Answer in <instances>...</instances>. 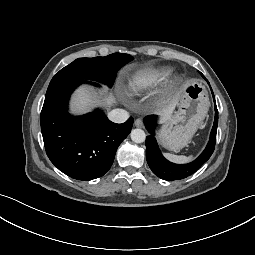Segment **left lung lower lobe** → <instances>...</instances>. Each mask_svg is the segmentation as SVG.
Segmentation results:
<instances>
[{"instance_id": "1", "label": "left lung lower lobe", "mask_w": 255, "mask_h": 255, "mask_svg": "<svg viewBox=\"0 0 255 255\" xmlns=\"http://www.w3.org/2000/svg\"><path fill=\"white\" fill-rule=\"evenodd\" d=\"M213 94V91H212ZM214 98V94H213ZM215 102V98H214ZM144 123L150 135L146 137V159L152 172L159 178L167 181L184 179L196 172L212 155L218 126V111L215 103V120L208 142L202 154L193 162L188 164H174L166 160L161 154L154 137L156 116L150 115L144 118Z\"/></svg>"}]
</instances>
